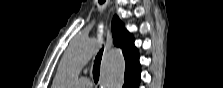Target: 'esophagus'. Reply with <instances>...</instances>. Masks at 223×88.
Here are the masks:
<instances>
[{
	"mask_svg": "<svg viewBox=\"0 0 223 88\" xmlns=\"http://www.w3.org/2000/svg\"><path fill=\"white\" fill-rule=\"evenodd\" d=\"M112 46V36H111V32L110 30H108L107 32V43H106V48H105V51H104V55H103V62H102V68H101V76H100V81L98 83V88H101V85H102V70H103V65H104V60H105V57L109 51V49L111 48Z\"/></svg>",
	"mask_w": 223,
	"mask_h": 88,
	"instance_id": "obj_1",
	"label": "esophagus"
}]
</instances>
